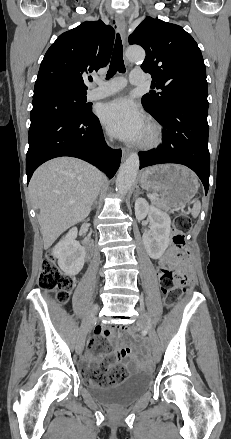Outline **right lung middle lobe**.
<instances>
[{
    "mask_svg": "<svg viewBox=\"0 0 231 439\" xmlns=\"http://www.w3.org/2000/svg\"><path fill=\"white\" fill-rule=\"evenodd\" d=\"M92 108L86 104V94L50 93L33 98L31 125L65 115H88Z\"/></svg>",
    "mask_w": 231,
    "mask_h": 439,
    "instance_id": "dd1d6c3e",
    "label": "right lung middle lobe"
}]
</instances>
